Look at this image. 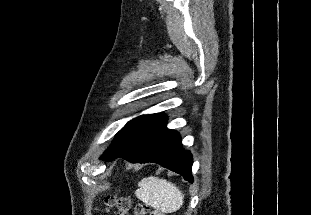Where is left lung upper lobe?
Wrapping results in <instances>:
<instances>
[{"instance_id": "1", "label": "left lung upper lobe", "mask_w": 311, "mask_h": 215, "mask_svg": "<svg viewBox=\"0 0 311 215\" xmlns=\"http://www.w3.org/2000/svg\"><path fill=\"white\" fill-rule=\"evenodd\" d=\"M155 116L141 115L129 121L116 135L110 147L101 156L102 159L110 160L115 155L125 150L137 137L143 127Z\"/></svg>"}]
</instances>
